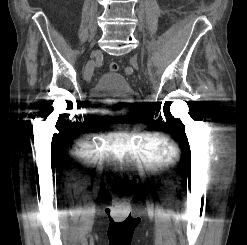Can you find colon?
Returning <instances> with one entry per match:
<instances>
[{
	"instance_id": "colon-1",
	"label": "colon",
	"mask_w": 247,
	"mask_h": 245,
	"mask_svg": "<svg viewBox=\"0 0 247 245\" xmlns=\"http://www.w3.org/2000/svg\"><path fill=\"white\" fill-rule=\"evenodd\" d=\"M109 70H110L111 72H117V71L119 70V65H118V63H116V62H111V63L109 64Z\"/></svg>"
}]
</instances>
